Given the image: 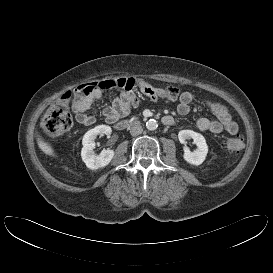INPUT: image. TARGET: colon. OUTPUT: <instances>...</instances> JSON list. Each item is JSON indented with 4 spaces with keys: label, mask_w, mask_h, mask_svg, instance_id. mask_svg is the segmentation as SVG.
<instances>
[{
    "label": "colon",
    "mask_w": 273,
    "mask_h": 273,
    "mask_svg": "<svg viewBox=\"0 0 273 273\" xmlns=\"http://www.w3.org/2000/svg\"><path fill=\"white\" fill-rule=\"evenodd\" d=\"M135 86L136 81L133 78H117L82 84L74 91L65 92L47 108L42 120V129L50 137H59L72 126L70 104L73 99L89 98L112 88L131 91ZM162 92L166 97L174 99L177 98L179 89L170 85ZM224 146L230 152H239L244 148V142L241 137L236 136L228 138Z\"/></svg>",
    "instance_id": "1"
}]
</instances>
